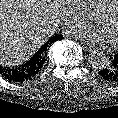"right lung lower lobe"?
<instances>
[{
  "label": "right lung lower lobe",
  "instance_id": "1",
  "mask_svg": "<svg viewBox=\"0 0 118 118\" xmlns=\"http://www.w3.org/2000/svg\"><path fill=\"white\" fill-rule=\"evenodd\" d=\"M53 42L63 39L61 35H56ZM50 40V39H49ZM36 54V53H35ZM46 52L38 58L34 55L29 61L20 67L9 69L0 66V74L7 80L13 82H23L33 78L42 69Z\"/></svg>",
  "mask_w": 118,
  "mask_h": 118
}]
</instances>
